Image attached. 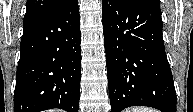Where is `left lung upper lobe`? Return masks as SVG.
Wrapping results in <instances>:
<instances>
[{
  "instance_id": "5c2ea615",
  "label": "left lung upper lobe",
  "mask_w": 193,
  "mask_h": 112,
  "mask_svg": "<svg viewBox=\"0 0 193 112\" xmlns=\"http://www.w3.org/2000/svg\"><path fill=\"white\" fill-rule=\"evenodd\" d=\"M127 1H143V0H127Z\"/></svg>"
}]
</instances>
